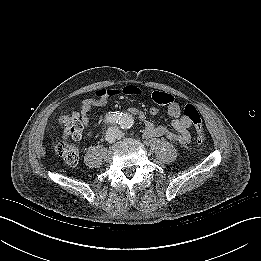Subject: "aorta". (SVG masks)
Returning <instances> with one entry per match:
<instances>
[{"label":"aorta","instance_id":"762f6f07","mask_svg":"<svg viewBox=\"0 0 261 261\" xmlns=\"http://www.w3.org/2000/svg\"><path fill=\"white\" fill-rule=\"evenodd\" d=\"M121 126H122L123 128H127V127H128L127 125H124L123 123H121Z\"/></svg>","mask_w":261,"mask_h":261}]
</instances>
